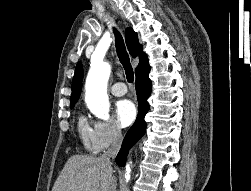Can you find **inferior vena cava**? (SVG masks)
I'll return each instance as SVG.
<instances>
[{"label":"inferior vena cava","instance_id":"obj_1","mask_svg":"<svg viewBox=\"0 0 251 191\" xmlns=\"http://www.w3.org/2000/svg\"><path fill=\"white\" fill-rule=\"evenodd\" d=\"M122 143V133H121V127H119L118 123L114 125L113 131H112V143L111 147L107 149V151H104L103 155H101L102 161L104 163H108V165H111V157H116Z\"/></svg>","mask_w":251,"mask_h":191}]
</instances>
